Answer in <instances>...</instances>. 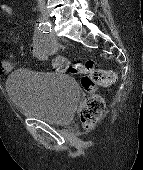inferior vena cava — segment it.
<instances>
[{
	"label": "inferior vena cava",
	"instance_id": "1",
	"mask_svg": "<svg viewBox=\"0 0 143 170\" xmlns=\"http://www.w3.org/2000/svg\"><path fill=\"white\" fill-rule=\"evenodd\" d=\"M38 6L41 11L45 10V0H38Z\"/></svg>",
	"mask_w": 143,
	"mask_h": 170
}]
</instances>
